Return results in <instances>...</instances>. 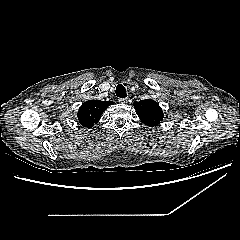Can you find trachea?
Returning a JSON list of instances; mask_svg holds the SVG:
<instances>
[{"label": "trachea", "instance_id": "trachea-1", "mask_svg": "<svg viewBox=\"0 0 240 240\" xmlns=\"http://www.w3.org/2000/svg\"><path fill=\"white\" fill-rule=\"evenodd\" d=\"M116 95L119 98H125L127 97L126 89L123 85L119 84L116 87Z\"/></svg>", "mask_w": 240, "mask_h": 240}]
</instances>
